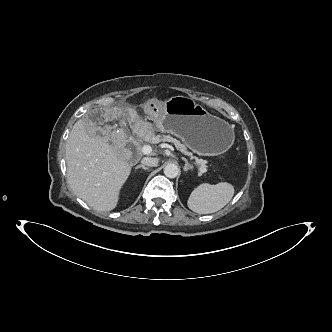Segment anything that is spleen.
Wrapping results in <instances>:
<instances>
[{"instance_id": "3e777b00", "label": "spleen", "mask_w": 332, "mask_h": 332, "mask_svg": "<svg viewBox=\"0 0 332 332\" xmlns=\"http://www.w3.org/2000/svg\"><path fill=\"white\" fill-rule=\"evenodd\" d=\"M234 192V187L227 182L216 185L203 183L191 192L187 204L198 214L215 213L229 203Z\"/></svg>"}]
</instances>
